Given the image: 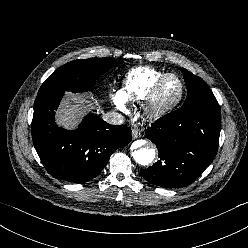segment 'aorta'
<instances>
[{
	"label": "aorta",
	"instance_id": "obj_1",
	"mask_svg": "<svg viewBox=\"0 0 248 248\" xmlns=\"http://www.w3.org/2000/svg\"><path fill=\"white\" fill-rule=\"evenodd\" d=\"M135 150L132 151V157L140 165H149L153 162L156 152L151 147V143L144 140H137L134 142Z\"/></svg>",
	"mask_w": 248,
	"mask_h": 248
}]
</instances>
